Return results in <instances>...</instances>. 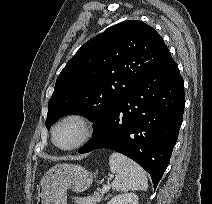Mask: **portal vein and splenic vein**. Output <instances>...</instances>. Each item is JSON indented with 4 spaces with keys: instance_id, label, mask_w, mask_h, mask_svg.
<instances>
[{
    "instance_id": "obj_1",
    "label": "portal vein and splenic vein",
    "mask_w": 212,
    "mask_h": 204,
    "mask_svg": "<svg viewBox=\"0 0 212 204\" xmlns=\"http://www.w3.org/2000/svg\"><path fill=\"white\" fill-rule=\"evenodd\" d=\"M110 186L109 183L108 184H104L102 189L100 190L101 193H105L109 190Z\"/></svg>"
}]
</instances>
